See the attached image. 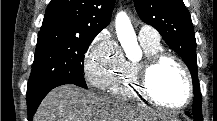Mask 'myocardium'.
<instances>
[{"label":"myocardium","mask_w":217,"mask_h":121,"mask_svg":"<svg viewBox=\"0 0 217 121\" xmlns=\"http://www.w3.org/2000/svg\"><path fill=\"white\" fill-rule=\"evenodd\" d=\"M165 61H171L180 68L183 72L187 83V95L185 100L178 105H168L157 98L151 89L150 75L153 70L163 64ZM136 82L140 94L147 100L157 104L168 110L177 111L187 107L192 101L194 95L193 81L189 69L185 63L177 56L167 53L158 52L151 56H146L143 60L137 63L136 66Z\"/></svg>","instance_id":"f54148a6"}]
</instances>
